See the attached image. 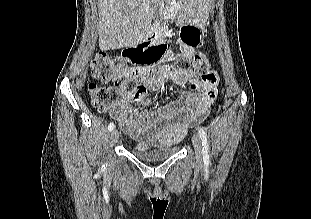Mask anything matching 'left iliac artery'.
Segmentation results:
<instances>
[{
	"label": "left iliac artery",
	"mask_w": 311,
	"mask_h": 219,
	"mask_svg": "<svg viewBox=\"0 0 311 219\" xmlns=\"http://www.w3.org/2000/svg\"><path fill=\"white\" fill-rule=\"evenodd\" d=\"M200 138L202 140V146H203V160L205 163L209 164L210 162V156H209V145H208V139H207V134L204 131L203 128L198 129Z\"/></svg>",
	"instance_id": "44dca946"
}]
</instances>
